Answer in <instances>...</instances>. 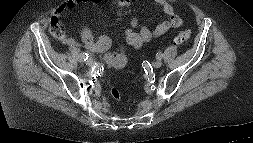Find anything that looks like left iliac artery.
<instances>
[{
  "instance_id": "1",
  "label": "left iliac artery",
  "mask_w": 253,
  "mask_h": 143,
  "mask_svg": "<svg viewBox=\"0 0 253 143\" xmlns=\"http://www.w3.org/2000/svg\"><path fill=\"white\" fill-rule=\"evenodd\" d=\"M163 57V54L161 53V52H158L157 54H156V58L157 59H161Z\"/></svg>"
}]
</instances>
